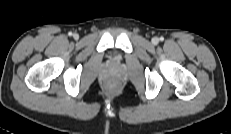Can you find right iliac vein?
Returning <instances> with one entry per match:
<instances>
[{"label":"right iliac vein","instance_id":"right-iliac-vein-1","mask_svg":"<svg viewBox=\"0 0 231 134\" xmlns=\"http://www.w3.org/2000/svg\"><path fill=\"white\" fill-rule=\"evenodd\" d=\"M73 37H74L75 39H78V38H79V35H78V34H74Z\"/></svg>","mask_w":231,"mask_h":134}]
</instances>
